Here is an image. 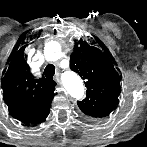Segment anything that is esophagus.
<instances>
[{"mask_svg": "<svg viewBox=\"0 0 147 147\" xmlns=\"http://www.w3.org/2000/svg\"><path fill=\"white\" fill-rule=\"evenodd\" d=\"M54 80L56 81V83H57L58 85H60V79H59L58 76H56V77L54 78Z\"/></svg>", "mask_w": 147, "mask_h": 147, "instance_id": "1", "label": "esophagus"}]
</instances>
